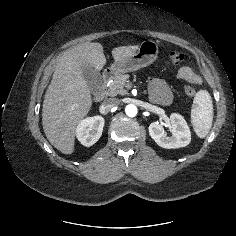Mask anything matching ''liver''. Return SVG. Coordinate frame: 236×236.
I'll list each match as a JSON object with an SVG mask.
<instances>
[{"mask_svg":"<svg viewBox=\"0 0 236 236\" xmlns=\"http://www.w3.org/2000/svg\"><path fill=\"white\" fill-rule=\"evenodd\" d=\"M139 46H120L112 50L115 61L133 55ZM97 70L106 65L100 43H82L69 48L58 59L43 101L42 124L49 142L63 154H72L76 128L92 106L91 91L82 72L84 64Z\"/></svg>","mask_w":236,"mask_h":236,"instance_id":"1","label":"liver"}]
</instances>
